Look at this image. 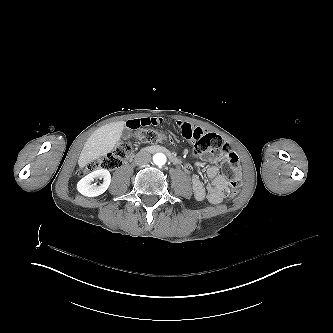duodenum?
<instances>
[{"label": "duodenum", "mask_w": 333, "mask_h": 333, "mask_svg": "<svg viewBox=\"0 0 333 333\" xmlns=\"http://www.w3.org/2000/svg\"><path fill=\"white\" fill-rule=\"evenodd\" d=\"M142 153H163L167 155L174 164H180V159L162 146H150L141 150Z\"/></svg>", "instance_id": "obj_1"}]
</instances>
